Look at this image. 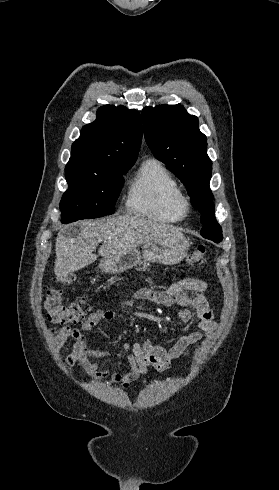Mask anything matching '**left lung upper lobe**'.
<instances>
[{
  "label": "left lung upper lobe",
  "instance_id": "1",
  "mask_svg": "<svg viewBox=\"0 0 279 490\" xmlns=\"http://www.w3.org/2000/svg\"><path fill=\"white\" fill-rule=\"evenodd\" d=\"M144 135L154 156L164 162L186 186L193 206L201 213V235L216 243L223 239L214 215L209 182L212 162L207 139L200 132L198 118L181 105H159L142 110Z\"/></svg>",
  "mask_w": 279,
  "mask_h": 490
}]
</instances>
